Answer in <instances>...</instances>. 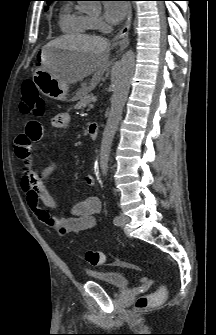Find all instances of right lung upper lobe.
Masks as SVG:
<instances>
[{
	"label": "right lung upper lobe",
	"mask_w": 216,
	"mask_h": 335,
	"mask_svg": "<svg viewBox=\"0 0 216 335\" xmlns=\"http://www.w3.org/2000/svg\"><path fill=\"white\" fill-rule=\"evenodd\" d=\"M45 1H47L48 3H50V2L53 1V0H45Z\"/></svg>",
	"instance_id": "cb5924a9"
}]
</instances>
